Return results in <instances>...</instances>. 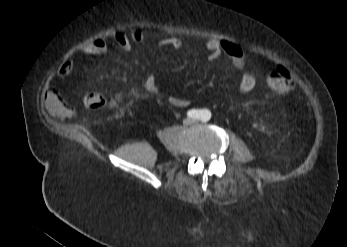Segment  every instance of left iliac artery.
Returning a JSON list of instances; mask_svg holds the SVG:
<instances>
[{
    "label": "left iliac artery",
    "mask_w": 347,
    "mask_h": 247,
    "mask_svg": "<svg viewBox=\"0 0 347 247\" xmlns=\"http://www.w3.org/2000/svg\"><path fill=\"white\" fill-rule=\"evenodd\" d=\"M211 118V113L208 110H204L201 115V121L202 122H207Z\"/></svg>",
    "instance_id": "obj_1"
}]
</instances>
